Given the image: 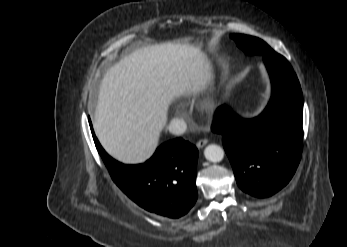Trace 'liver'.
<instances>
[{
	"instance_id": "obj_1",
	"label": "liver",
	"mask_w": 347,
	"mask_h": 247,
	"mask_svg": "<svg viewBox=\"0 0 347 247\" xmlns=\"http://www.w3.org/2000/svg\"><path fill=\"white\" fill-rule=\"evenodd\" d=\"M212 81L211 65L198 47L165 42L137 49L103 76L94 131L118 161L143 163L158 146L169 104L202 93Z\"/></svg>"
}]
</instances>
